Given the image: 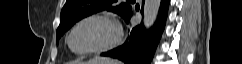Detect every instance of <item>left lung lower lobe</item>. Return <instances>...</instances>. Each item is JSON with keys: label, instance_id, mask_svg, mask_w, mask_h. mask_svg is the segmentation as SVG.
Wrapping results in <instances>:
<instances>
[{"label": "left lung lower lobe", "instance_id": "obj_1", "mask_svg": "<svg viewBox=\"0 0 242 64\" xmlns=\"http://www.w3.org/2000/svg\"><path fill=\"white\" fill-rule=\"evenodd\" d=\"M168 5L169 0H161L159 15L154 27L146 30L144 26H136L122 46L102 53V56L119 59L124 64H150L165 27ZM132 14L131 11L124 19L126 23H129Z\"/></svg>", "mask_w": 242, "mask_h": 64}]
</instances>
